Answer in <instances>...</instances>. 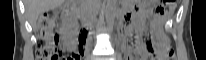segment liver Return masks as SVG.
Returning a JSON list of instances; mask_svg holds the SVG:
<instances>
[{
  "label": "liver",
  "mask_w": 206,
  "mask_h": 60,
  "mask_svg": "<svg viewBox=\"0 0 206 60\" xmlns=\"http://www.w3.org/2000/svg\"><path fill=\"white\" fill-rule=\"evenodd\" d=\"M65 0H25L26 13L32 27L36 26L41 13L61 6Z\"/></svg>",
  "instance_id": "1"
}]
</instances>
